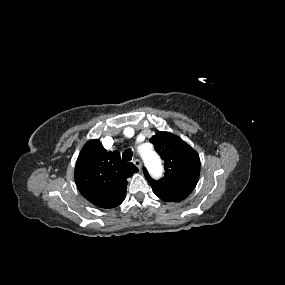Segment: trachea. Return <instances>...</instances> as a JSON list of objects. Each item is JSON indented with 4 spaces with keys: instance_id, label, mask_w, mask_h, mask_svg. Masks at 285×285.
<instances>
[{
    "instance_id": "1",
    "label": "trachea",
    "mask_w": 285,
    "mask_h": 285,
    "mask_svg": "<svg viewBox=\"0 0 285 285\" xmlns=\"http://www.w3.org/2000/svg\"><path fill=\"white\" fill-rule=\"evenodd\" d=\"M133 153L131 149H127L122 153V159L124 161H130L132 159Z\"/></svg>"
}]
</instances>
